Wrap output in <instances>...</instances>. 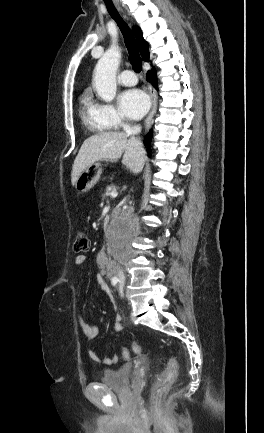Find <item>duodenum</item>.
<instances>
[{
  "instance_id": "obj_1",
  "label": "duodenum",
  "mask_w": 264,
  "mask_h": 433,
  "mask_svg": "<svg viewBox=\"0 0 264 433\" xmlns=\"http://www.w3.org/2000/svg\"><path fill=\"white\" fill-rule=\"evenodd\" d=\"M108 226H109V219L106 218V219L104 220V230H105V232H107V233H108ZM109 256H110L112 259H114V258L116 257V254H115V252H114L113 250H111ZM104 259H105V257H104ZM113 271H114V266L111 265V266L108 268V270H107V274H108V276H111V274L113 273Z\"/></svg>"
}]
</instances>
